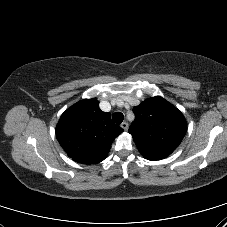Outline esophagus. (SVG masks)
<instances>
[{"instance_id":"34e87169","label":"esophagus","mask_w":227,"mask_h":227,"mask_svg":"<svg viewBox=\"0 0 227 227\" xmlns=\"http://www.w3.org/2000/svg\"><path fill=\"white\" fill-rule=\"evenodd\" d=\"M122 129L127 130L128 129V123L127 122H122L121 125Z\"/></svg>"}]
</instances>
